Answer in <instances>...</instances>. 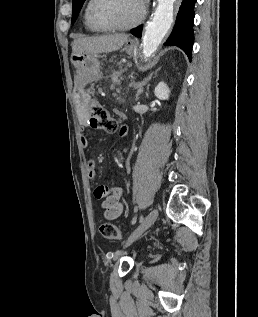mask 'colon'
Here are the masks:
<instances>
[{
	"label": "colon",
	"mask_w": 258,
	"mask_h": 317,
	"mask_svg": "<svg viewBox=\"0 0 258 317\" xmlns=\"http://www.w3.org/2000/svg\"><path fill=\"white\" fill-rule=\"evenodd\" d=\"M86 102L89 113V124L92 128L106 132L117 131V121L96 99L89 97ZM100 233L104 238L109 240H120L122 237L121 230L112 223L101 224Z\"/></svg>",
	"instance_id": "1"
}]
</instances>
